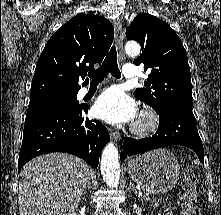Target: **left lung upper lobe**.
Masks as SVG:
<instances>
[{
    "mask_svg": "<svg viewBox=\"0 0 221 215\" xmlns=\"http://www.w3.org/2000/svg\"><path fill=\"white\" fill-rule=\"evenodd\" d=\"M128 40L140 43L142 54L135 65L149 69L145 88L134 96L154 108L157 114L178 110L192 112L190 67L183 44L165 22L148 13L139 14L126 29Z\"/></svg>",
    "mask_w": 221,
    "mask_h": 215,
    "instance_id": "obj_1",
    "label": "left lung upper lobe"
}]
</instances>
